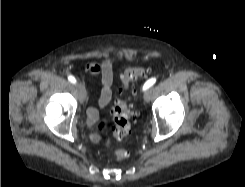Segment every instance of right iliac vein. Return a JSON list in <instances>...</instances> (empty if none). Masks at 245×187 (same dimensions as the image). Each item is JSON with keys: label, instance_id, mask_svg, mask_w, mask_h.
<instances>
[{"label": "right iliac vein", "instance_id": "obj_1", "mask_svg": "<svg viewBox=\"0 0 245 187\" xmlns=\"http://www.w3.org/2000/svg\"><path fill=\"white\" fill-rule=\"evenodd\" d=\"M75 89L77 91V95H78L79 101L81 103H83L85 101V99H86V90H85L84 86L81 83H76L75 84Z\"/></svg>", "mask_w": 245, "mask_h": 187}]
</instances>
